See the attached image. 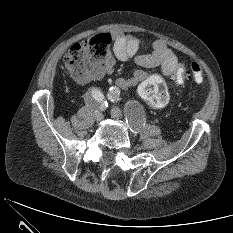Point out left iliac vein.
Returning <instances> with one entry per match:
<instances>
[{
    "instance_id": "obj_1",
    "label": "left iliac vein",
    "mask_w": 233,
    "mask_h": 233,
    "mask_svg": "<svg viewBox=\"0 0 233 233\" xmlns=\"http://www.w3.org/2000/svg\"><path fill=\"white\" fill-rule=\"evenodd\" d=\"M111 116L114 119H121L123 117V113H122V111L119 108L113 107L111 109ZM129 126H130V128L132 129V131L134 133H138L139 132V125L137 124L136 121H134L131 118L129 119Z\"/></svg>"
}]
</instances>
